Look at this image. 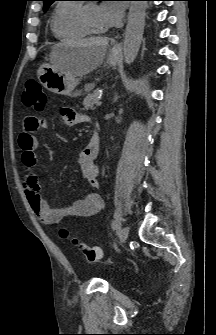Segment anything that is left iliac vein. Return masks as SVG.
I'll list each match as a JSON object with an SVG mask.
<instances>
[{"label":"left iliac vein","instance_id":"4c4485c4","mask_svg":"<svg viewBox=\"0 0 216 335\" xmlns=\"http://www.w3.org/2000/svg\"><path fill=\"white\" fill-rule=\"evenodd\" d=\"M129 236V227L128 226H125L122 228V230L120 231V234H119V241L120 243H124L127 238Z\"/></svg>","mask_w":216,"mask_h":335}]
</instances>
